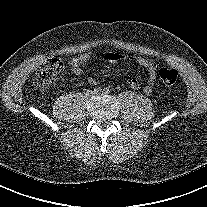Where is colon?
Masks as SVG:
<instances>
[{
    "label": "colon",
    "mask_w": 207,
    "mask_h": 207,
    "mask_svg": "<svg viewBox=\"0 0 207 207\" xmlns=\"http://www.w3.org/2000/svg\"><path fill=\"white\" fill-rule=\"evenodd\" d=\"M64 64L59 59L49 60L35 75L34 84L38 88H47L53 85L62 73ZM159 78L165 86H173L178 79V72L172 68H163L159 71Z\"/></svg>",
    "instance_id": "1"
}]
</instances>
